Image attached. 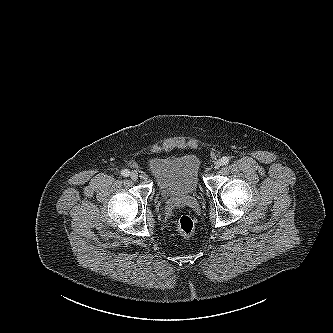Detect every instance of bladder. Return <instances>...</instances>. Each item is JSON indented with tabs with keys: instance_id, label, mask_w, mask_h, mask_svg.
I'll return each mask as SVG.
<instances>
[{
	"instance_id": "1",
	"label": "bladder",
	"mask_w": 333,
	"mask_h": 333,
	"mask_svg": "<svg viewBox=\"0 0 333 333\" xmlns=\"http://www.w3.org/2000/svg\"><path fill=\"white\" fill-rule=\"evenodd\" d=\"M148 168L162 197L193 196L199 190L201 160L194 153L157 157Z\"/></svg>"
}]
</instances>
